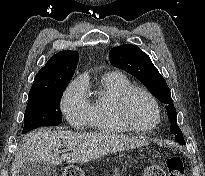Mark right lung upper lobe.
Segmentation results:
<instances>
[{
    "label": "right lung upper lobe",
    "instance_id": "1",
    "mask_svg": "<svg viewBox=\"0 0 205 176\" xmlns=\"http://www.w3.org/2000/svg\"><path fill=\"white\" fill-rule=\"evenodd\" d=\"M78 60L77 51L64 50L53 55L35 76L29 96L44 94L68 84Z\"/></svg>",
    "mask_w": 205,
    "mask_h": 176
}]
</instances>
